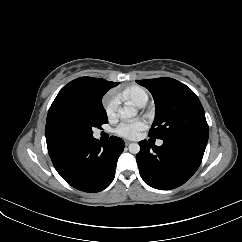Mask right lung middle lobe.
<instances>
[{
    "label": "right lung middle lobe",
    "instance_id": "obj_1",
    "mask_svg": "<svg viewBox=\"0 0 242 242\" xmlns=\"http://www.w3.org/2000/svg\"><path fill=\"white\" fill-rule=\"evenodd\" d=\"M107 122V114L102 102L89 106H65L57 112L54 119L58 132L67 137L93 136L92 129L101 128V125Z\"/></svg>",
    "mask_w": 242,
    "mask_h": 242
}]
</instances>
